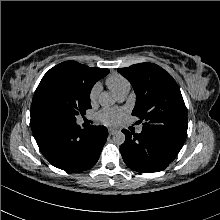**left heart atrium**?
Returning a JSON list of instances; mask_svg holds the SVG:
<instances>
[{"label":"left heart atrium","mask_w":220,"mask_h":220,"mask_svg":"<svg viewBox=\"0 0 220 220\" xmlns=\"http://www.w3.org/2000/svg\"><path fill=\"white\" fill-rule=\"evenodd\" d=\"M123 115L124 113L121 110L107 109L101 111L98 118L105 125L115 126L121 121Z\"/></svg>","instance_id":"left-heart-atrium-1"}]
</instances>
